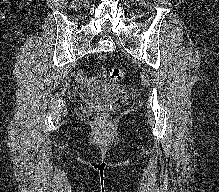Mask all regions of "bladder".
I'll use <instances>...</instances> for the list:
<instances>
[{"label":"bladder","mask_w":219,"mask_h":192,"mask_svg":"<svg viewBox=\"0 0 219 192\" xmlns=\"http://www.w3.org/2000/svg\"><path fill=\"white\" fill-rule=\"evenodd\" d=\"M116 88L113 86H108L106 88H102L99 92H98V96L96 97L98 101H109L111 100L115 95H116Z\"/></svg>","instance_id":"obj_1"}]
</instances>
